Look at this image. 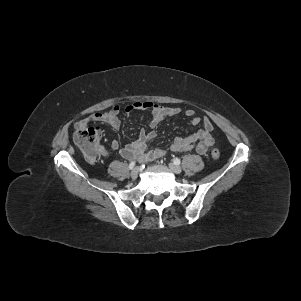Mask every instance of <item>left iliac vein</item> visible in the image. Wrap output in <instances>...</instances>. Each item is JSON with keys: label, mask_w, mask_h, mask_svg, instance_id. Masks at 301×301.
<instances>
[{"label": "left iliac vein", "mask_w": 301, "mask_h": 301, "mask_svg": "<svg viewBox=\"0 0 301 301\" xmlns=\"http://www.w3.org/2000/svg\"><path fill=\"white\" fill-rule=\"evenodd\" d=\"M169 167L176 174H180L181 171H182L181 167L179 165L174 164V163H170Z\"/></svg>", "instance_id": "1"}]
</instances>
